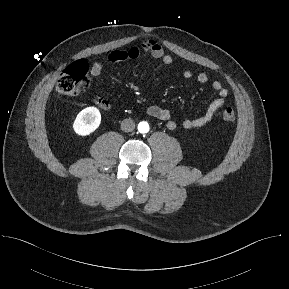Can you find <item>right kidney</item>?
Masks as SVG:
<instances>
[{"instance_id": "1", "label": "right kidney", "mask_w": 289, "mask_h": 289, "mask_svg": "<svg viewBox=\"0 0 289 289\" xmlns=\"http://www.w3.org/2000/svg\"><path fill=\"white\" fill-rule=\"evenodd\" d=\"M101 123V114L96 107H87L79 112L73 129L79 136H87L94 132Z\"/></svg>"}]
</instances>
